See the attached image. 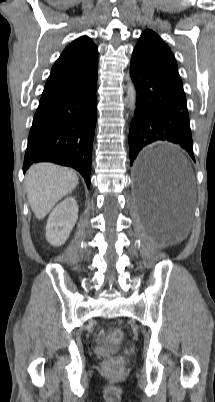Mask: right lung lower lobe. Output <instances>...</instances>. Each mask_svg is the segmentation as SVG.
<instances>
[{
  "mask_svg": "<svg viewBox=\"0 0 215 402\" xmlns=\"http://www.w3.org/2000/svg\"><path fill=\"white\" fill-rule=\"evenodd\" d=\"M97 75L84 85L39 104L33 118L23 171L36 162L70 166L90 186L96 123Z\"/></svg>",
  "mask_w": 215,
  "mask_h": 402,
  "instance_id": "1",
  "label": "right lung lower lobe"
}]
</instances>
